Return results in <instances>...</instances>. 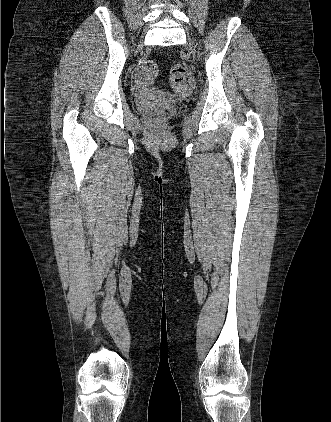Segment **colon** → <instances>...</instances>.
Here are the masks:
<instances>
[{
	"mask_svg": "<svg viewBox=\"0 0 331 422\" xmlns=\"http://www.w3.org/2000/svg\"><path fill=\"white\" fill-rule=\"evenodd\" d=\"M141 74L146 79H153L158 74V66L156 62L147 60L141 67ZM188 72L183 64H173L170 68L171 84L176 92L182 97H187L189 87L187 85Z\"/></svg>",
	"mask_w": 331,
	"mask_h": 422,
	"instance_id": "obj_1",
	"label": "colon"
}]
</instances>
